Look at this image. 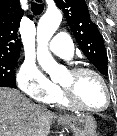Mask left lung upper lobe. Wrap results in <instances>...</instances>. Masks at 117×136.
Wrapping results in <instances>:
<instances>
[{
	"label": "left lung upper lobe",
	"mask_w": 117,
	"mask_h": 136,
	"mask_svg": "<svg viewBox=\"0 0 117 136\" xmlns=\"http://www.w3.org/2000/svg\"><path fill=\"white\" fill-rule=\"evenodd\" d=\"M63 11L76 41L87 59L104 75L107 71V53L103 38L90 19L85 0H55Z\"/></svg>",
	"instance_id": "obj_1"
}]
</instances>
